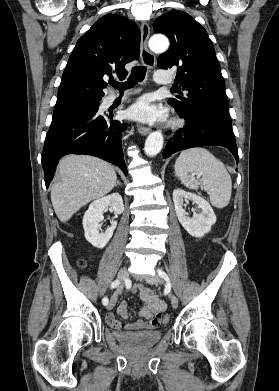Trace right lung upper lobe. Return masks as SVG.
Returning <instances> with one entry per match:
<instances>
[{
  "instance_id": "cb5924a9",
  "label": "right lung upper lobe",
  "mask_w": 279,
  "mask_h": 391,
  "mask_svg": "<svg viewBox=\"0 0 279 391\" xmlns=\"http://www.w3.org/2000/svg\"><path fill=\"white\" fill-rule=\"evenodd\" d=\"M140 55V30L125 17H101L73 49L58 90L54 111L82 103L99 102L112 74L123 78L125 65Z\"/></svg>"
}]
</instances>
